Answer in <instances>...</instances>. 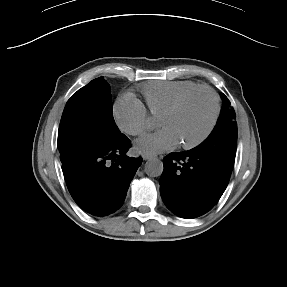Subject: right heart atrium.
<instances>
[{
  "instance_id": "1",
  "label": "right heart atrium",
  "mask_w": 287,
  "mask_h": 287,
  "mask_svg": "<svg viewBox=\"0 0 287 287\" xmlns=\"http://www.w3.org/2000/svg\"><path fill=\"white\" fill-rule=\"evenodd\" d=\"M114 116L119 126L132 136L142 135L150 128L151 118L146 107L131 93L116 100Z\"/></svg>"
}]
</instances>
